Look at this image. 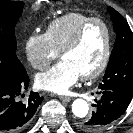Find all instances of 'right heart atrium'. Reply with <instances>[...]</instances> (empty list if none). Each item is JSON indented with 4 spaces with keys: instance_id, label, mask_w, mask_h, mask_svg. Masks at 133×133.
<instances>
[{
    "instance_id": "right-heart-atrium-1",
    "label": "right heart atrium",
    "mask_w": 133,
    "mask_h": 133,
    "mask_svg": "<svg viewBox=\"0 0 133 133\" xmlns=\"http://www.w3.org/2000/svg\"><path fill=\"white\" fill-rule=\"evenodd\" d=\"M25 52L31 66L37 70L48 68L51 62L59 56L45 33L31 34L25 44Z\"/></svg>"
}]
</instances>
